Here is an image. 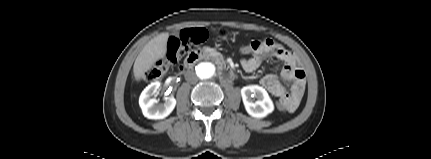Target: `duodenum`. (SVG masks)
Listing matches in <instances>:
<instances>
[{
  "label": "duodenum",
  "instance_id": "duodenum-1",
  "mask_svg": "<svg viewBox=\"0 0 431 159\" xmlns=\"http://www.w3.org/2000/svg\"><path fill=\"white\" fill-rule=\"evenodd\" d=\"M207 55L201 51L191 52L185 59L184 68H192L198 61L204 59ZM210 57L216 62L218 69L220 71V77L224 82H230L234 78V73L230 66L219 56L210 55Z\"/></svg>",
  "mask_w": 431,
  "mask_h": 159
}]
</instances>
